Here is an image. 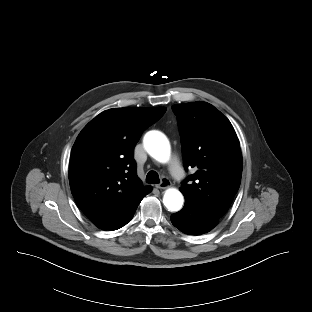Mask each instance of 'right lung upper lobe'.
Masks as SVG:
<instances>
[{"label":"right lung upper lobe","instance_id":"1","mask_svg":"<svg viewBox=\"0 0 312 312\" xmlns=\"http://www.w3.org/2000/svg\"><path fill=\"white\" fill-rule=\"evenodd\" d=\"M165 111L113 108L97 115L78 135L69 163L71 192L98 228L121 227L150 189L137 176L133 150L143 131Z\"/></svg>","mask_w":312,"mask_h":312}]
</instances>
